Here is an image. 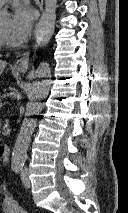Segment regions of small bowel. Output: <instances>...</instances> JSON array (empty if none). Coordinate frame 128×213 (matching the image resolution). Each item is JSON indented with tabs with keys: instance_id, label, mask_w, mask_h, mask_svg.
<instances>
[{
	"instance_id": "1",
	"label": "small bowel",
	"mask_w": 128,
	"mask_h": 213,
	"mask_svg": "<svg viewBox=\"0 0 128 213\" xmlns=\"http://www.w3.org/2000/svg\"><path fill=\"white\" fill-rule=\"evenodd\" d=\"M1 211L2 213H10L5 199L2 202Z\"/></svg>"
}]
</instances>
